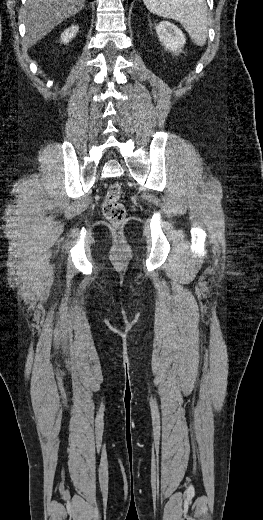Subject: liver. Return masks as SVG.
<instances>
[{"instance_id":"6515ba94","label":"liver","mask_w":263,"mask_h":520,"mask_svg":"<svg viewBox=\"0 0 263 520\" xmlns=\"http://www.w3.org/2000/svg\"><path fill=\"white\" fill-rule=\"evenodd\" d=\"M84 5L85 0H26L23 9L25 45L36 44L62 21L81 11Z\"/></svg>"}]
</instances>
